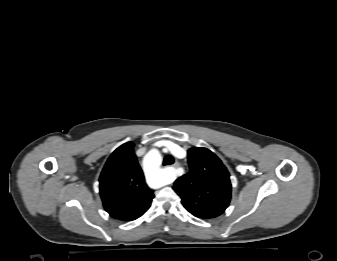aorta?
Returning a JSON list of instances; mask_svg holds the SVG:
<instances>
[{
  "label": "aorta",
  "mask_w": 337,
  "mask_h": 261,
  "mask_svg": "<svg viewBox=\"0 0 337 261\" xmlns=\"http://www.w3.org/2000/svg\"><path fill=\"white\" fill-rule=\"evenodd\" d=\"M146 167L151 175L160 177L161 185L170 183L173 180V174H171L170 169H161V156L158 152L151 151L145 157Z\"/></svg>",
  "instance_id": "1"
}]
</instances>
